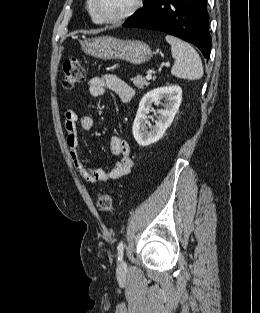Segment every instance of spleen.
Segmentation results:
<instances>
[{
    "instance_id": "spleen-1",
    "label": "spleen",
    "mask_w": 260,
    "mask_h": 313,
    "mask_svg": "<svg viewBox=\"0 0 260 313\" xmlns=\"http://www.w3.org/2000/svg\"><path fill=\"white\" fill-rule=\"evenodd\" d=\"M165 39L171 45L172 57L175 59L171 74L182 79H200L203 76V66L196 50L189 43L172 35H166Z\"/></svg>"
}]
</instances>
